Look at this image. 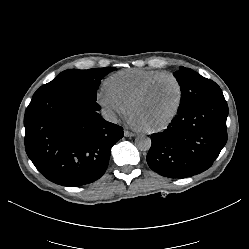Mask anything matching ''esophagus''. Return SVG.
<instances>
[{
  "mask_svg": "<svg viewBox=\"0 0 249 249\" xmlns=\"http://www.w3.org/2000/svg\"><path fill=\"white\" fill-rule=\"evenodd\" d=\"M124 135H125L126 137H134L136 134L133 133V132H130V131H128V130H124Z\"/></svg>",
  "mask_w": 249,
  "mask_h": 249,
  "instance_id": "34e87169",
  "label": "esophagus"
}]
</instances>
